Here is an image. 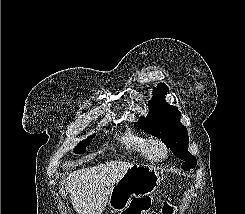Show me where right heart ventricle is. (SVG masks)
I'll return each instance as SVG.
<instances>
[{
  "label": "right heart ventricle",
  "instance_id": "obj_1",
  "mask_svg": "<svg viewBox=\"0 0 245 214\" xmlns=\"http://www.w3.org/2000/svg\"><path fill=\"white\" fill-rule=\"evenodd\" d=\"M149 138L136 134L134 132H128L121 138V143L128 150L139 154L145 159H149L148 156V142Z\"/></svg>",
  "mask_w": 245,
  "mask_h": 214
}]
</instances>
